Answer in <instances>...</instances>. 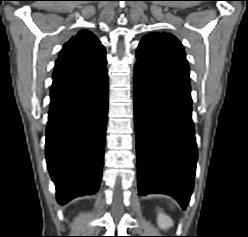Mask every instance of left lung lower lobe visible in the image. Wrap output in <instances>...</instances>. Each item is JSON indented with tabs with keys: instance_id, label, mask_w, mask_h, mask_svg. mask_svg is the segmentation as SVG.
Listing matches in <instances>:
<instances>
[{
	"instance_id": "0a47b994",
	"label": "left lung lower lobe",
	"mask_w": 248,
	"mask_h": 237,
	"mask_svg": "<svg viewBox=\"0 0 248 237\" xmlns=\"http://www.w3.org/2000/svg\"><path fill=\"white\" fill-rule=\"evenodd\" d=\"M190 83L172 80L137 61L134 112L139 195L162 193L186 208L194 186L197 149Z\"/></svg>"
}]
</instances>
